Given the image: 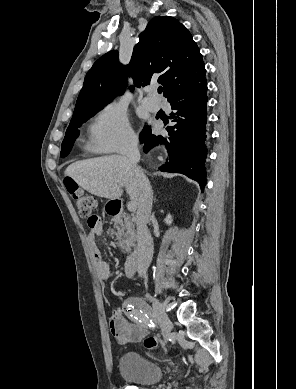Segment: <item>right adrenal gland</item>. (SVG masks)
<instances>
[{
  "label": "right adrenal gland",
  "mask_w": 296,
  "mask_h": 389,
  "mask_svg": "<svg viewBox=\"0 0 296 389\" xmlns=\"http://www.w3.org/2000/svg\"><path fill=\"white\" fill-rule=\"evenodd\" d=\"M154 202H156V198H154Z\"/></svg>",
  "instance_id": "2a0ac1e0"
}]
</instances>
